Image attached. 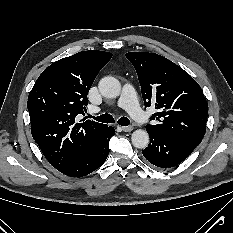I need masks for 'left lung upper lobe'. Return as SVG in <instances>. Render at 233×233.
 I'll use <instances>...</instances> for the list:
<instances>
[{"label": "left lung upper lobe", "instance_id": "obj_1", "mask_svg": "<svg viewBox=\"0 0 233 233\" xmlns=\"http://www.w3.org/2000/svg\"><path fill=\"white\" fill-rule=\"evenodd\" d=\"M127 59L136 69L145 107L158 110L146 130L199 145L206 131L208 105L201 87L182 68L163 56L129 52Z\"/></svg>", "mask_w": 233, "mask_h": 233}]
</instances>
